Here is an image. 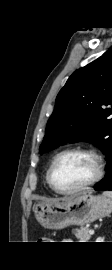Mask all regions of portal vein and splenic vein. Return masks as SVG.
Listing matches in <instances>:
<instances>
[{
	"instance_id": "18ae733b",
	"label": "portal vein and splenic vein",
	"mask_w": 112,
	"mask_h": 270,
	"mask_svg": "<svg viewBox=\"0 0 112 270\" xmlns=\"http://www.w3.org/2000/svg\"><path fill=\"white\" fill-rule=\"evenodd\" d=\"M89 234H90V235H93V234H94V230H93V229H90V230H89Z\"/></svg>"
}]
</instances>
